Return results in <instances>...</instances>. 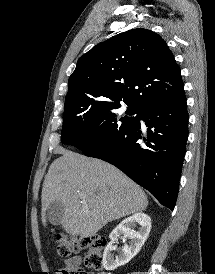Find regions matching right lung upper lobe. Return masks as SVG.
<instances>
[{"label":"right lung upper lobe","instance_id":"cb5924a9","mask_svg":"<svg viewBox=\"0 0 215 274\" xmlns=\"http://www.w3.org/2000/svg\"><path fill=\"white\" fill-rule=\"evenodd\" d=\"M174 56L155 32L132 29L81 56L65 102L123 101L137 108L184 96Z\"/></svg>","mask_w":215,"mask_h":274}]
</instances>
